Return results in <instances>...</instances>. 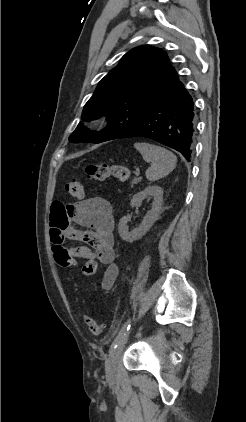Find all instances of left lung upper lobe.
Returning a JSON list of instances; mask_svg holds the SVG:
<instances>
[{"instance_id":"obj_1","label":"left lung upper lobe","mask_w":246,"mask_h":422,"mask_svg":"<svg viewBox=\"0 0 246 422\" xmlns=\"http://www.w3.org/2000/svg\"><path fill=\"white\" fill-rule=\"evenodd\" d=\"M176 76L163 50L149 45L130 50L100 81L82 112L87 121L107 116L108 127L90 132L79 124L69 140L101 143L118 138L145 114Z\"/></svg>"}]
</instances>
